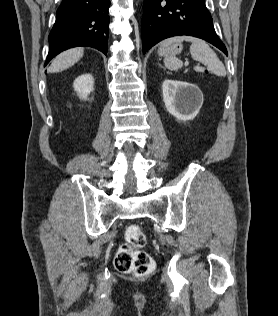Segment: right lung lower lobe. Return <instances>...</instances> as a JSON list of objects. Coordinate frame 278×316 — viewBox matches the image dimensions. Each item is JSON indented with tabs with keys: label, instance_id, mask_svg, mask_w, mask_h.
<instances>
[{
	"label": "right lung lower lobe",
	"instance_id": "obj_1",
	"mask_svg": "<svg viewBox=\"0 0 278 316\" xmlns=\"http://www.w3.org/2000/svg\"><path fill=\"white\" fill-rule=\"evenodd\" d=\"M110 0H63L49 34L45 62L77 46L93 47L107 54Z\"/></svg>",
	"mask_w": 278,
	"mask_h": 316
}]
</instances>
